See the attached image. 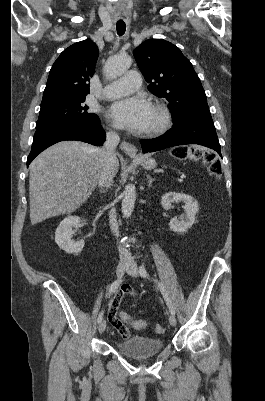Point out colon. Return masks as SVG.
Here are the masks:
<instances>
[{"mask_svg": "<svg viewBox=\"0 0 265 401\" xmlns=\"http://www.w3.org/2000/svg\"><path fill=\"white\" fill-rule=\"evenodd\" d=\"M172 155L179 160H201L207 166L210 175L219 177L221 174V165L213 153L201 152L193 147H178L173 150ZM108 320L125 339L129 338L130 332L124 323H128L134 329H143L147 326V322L145 320H135L124 311H121L119 315L110 311L108 313ZM154 330L159 334L164 331L163 327L159 324L154 325Z\"/></svg>", "mask_w": 265, "mask_h": 401, "instance_id": "5ec220e1", "label": "colon"}]
</instances>
